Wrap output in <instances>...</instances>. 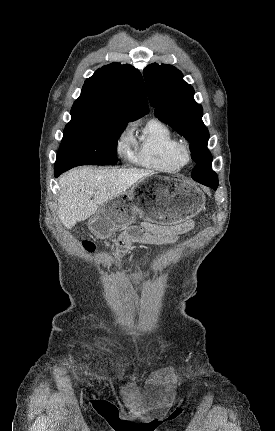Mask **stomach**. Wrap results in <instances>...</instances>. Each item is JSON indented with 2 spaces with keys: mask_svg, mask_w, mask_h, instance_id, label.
<instances>
[{
  "mask_svg": "<svg viewBox=\"0 0 275 431\" xmlns=\"http://www.w3.org/2000/svg\"><path fill=\"white\" fill-rule=\"evenodd\" d=\"M205 196L189 181L151 175L125 192L100 205L89 221V229L99 238L132 224L136 216L166 226L177 225L205 208Z\"/></svg>",
  "mask_w": 275,
  "mask_h": 431,
  "instance_id": "stomach-1",
  "label": "stomach"
}]
</instances>
